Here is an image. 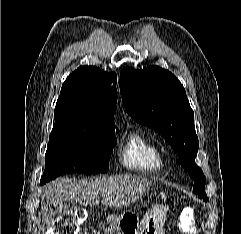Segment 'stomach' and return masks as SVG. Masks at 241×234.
Listing matches in <instances>:
<instances>
[{
    "label": "stomach",
    "mask_w": 241,
    "mask_h": 234,
    "mask_svg": "<svg viewBox=\"0 0 241 234\" xmlns=\"http://www.w3.org/2000/svg\"><path fill=\"white\" fill-rule=\"evenodd\" d=\"M166 208L156 206L149 210L142 220L130 213L124 212L117 219L118 234H164Z\"/></svg>",
    "instance_id": "0dacf381"
}]
</instances>
